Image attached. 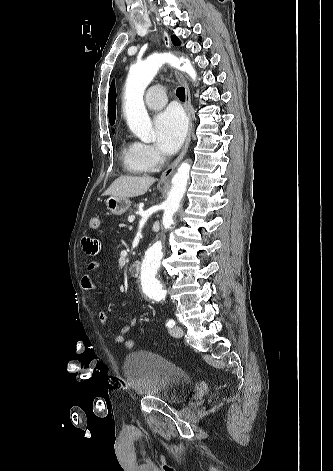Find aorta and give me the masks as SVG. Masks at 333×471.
<instances>
[{
    "instance_id": "762f6f07",
    "label": "aorta",
    "mask_w": 333,
    "mask_h": 471,
    "mask_svg": "<svg viewBox=\"0 0 333 471\" xmlns=\"http://www.w3.org/2000/svg\"><path fill=\"white\" fill-rule=\"evenodd\" d=\"M169 62L196 80V71L189 60L176 59L166 54H154L145 61L133 65L126 80L124 112L131 132L145 143L154 141L152 123L144 105V92L163 63ZM182 64V65H181ZM190 164L183 162L175 173L167 200L164 203L162 225L164 229L174 224L173 216L177 212L186 191ZM163 258V244L154 242L146 251L141 265V283L144 292L152 298L163 299L166 290L159 280V269Z\"/></svg>"
}]
</instances>
